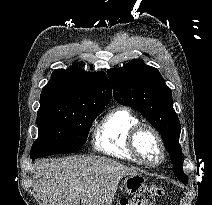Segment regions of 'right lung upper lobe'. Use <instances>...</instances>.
<instances>
[{
  "label": "right lung upper lobe",
  "mask_w": 212,
  "mask_h": 205,
  "mask_svg": "<svg viewBox=\"0 0 212 205\" xmlns=\"http://www.w3.org/2000/svg\"><path fill=\"white\" fill-rule=\"evenodd\" d=\"M112 89L102 71L90 73L77 66L57 69L42 89L38 112L57 113L76 106L107 105Z\"/></svg>",
  "instance_id": "obj_1"
}]
</instances>
